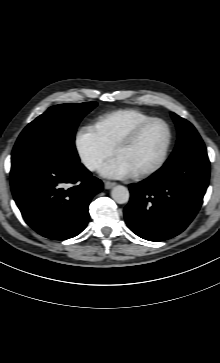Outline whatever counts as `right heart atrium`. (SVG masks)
Returning a JSON list of instances; mask_svg holds the SVG:
<instances>
[{"label":"right heart atrium","instance_id":"d8ad5b80","mask_svg":"<svg viewBox=\"0 0 220 363\" xmlns=\"http://www.w3.org/2000/svg\"><path fill=\"white\" fill-rule=\"evenodd\" d=\"M75 150L81 163L90 171L97 170L113 154L94 126L80 127L74 139Z\"/></svg>","mask_w":220,"mask_h":363}]
</instances>
